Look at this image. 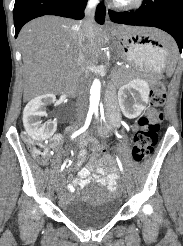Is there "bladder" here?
<instances>
[{
	"label": "bladder",
	"instance_id": "1",
	"mask_svg": "<svg viewBox=\"0 0 183 246\" xmlns=\"http://www.w3.org/2000/svg\"><path fill=\"white\" fill-rule=\"evenodd\" d=\"M119 200L101 184H93L83 195L62 202L65 217L81 228L109 223L119 211Z\"/></svg>",
	"mask_w": 183,
	"mask_h": 246
}]
</instances>
